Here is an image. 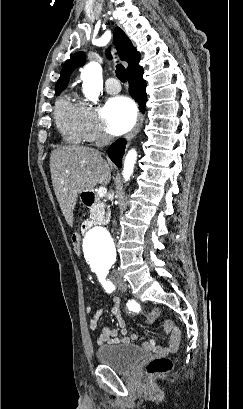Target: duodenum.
Returning <instances> with one entry per match:
<instances>
[{"label": "duodenum", "mask_w": 243, "mask_h": 409, "mask_svg": "<svg viewBox=\"0 0 243 409\" xmlns=\"http://www.w3.org/2000/svg\"><path fill=\"white\" fill-rule=\"evenodd\" d=\"M82 200H83V203L85 204V206H87L89 208H92L97 204V197H96V195H95V193L93 191L85 192L83 194V196H82ZM104 223H105V221L102 220V219H98V220L95 221V224H97V225H102ZM91 225H92V223H90V222L84 223L83 230L84 231L87 230L88 228H90Z\"/></svg>", "instance_id": "1"}]
</instances>
